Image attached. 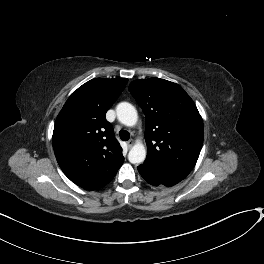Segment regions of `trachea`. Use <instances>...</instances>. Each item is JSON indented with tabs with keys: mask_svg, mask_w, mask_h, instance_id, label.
<instances>
[{
	"mask_svg": "<svg viewBox=\"0 0 264 264\" xmlns=\"http://www.w3.org/2000/svg\"><path fill=\"white\" fill-rule=\"evenodd\" d=\"M119 136H120V139L123 140V141H127L130 138V134L126 130H121L119 132Z\"/></svg>",
	"mask_w": 264,
	"mask_h": 264,
	"instance_id": "3493384b",
	"label": "trachea"
}]
</instances>
